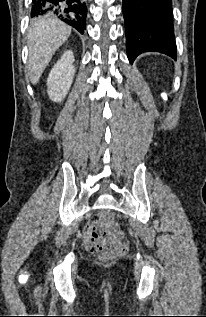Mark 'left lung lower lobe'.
Wrapping results in <instances>:
<instances>
[{
	"label": "left lung lower lobe",
	"mask_w": 206,
	"mask_h": 317,
	"mask_svg": "<svg viewBox=\"0 0 206 317\" xmlns=\"http://www.w3.org/2000/svg\"><path fill=\"white\" fill-rule=\"evenodd\" d=\"M122 11L130 63L148 51L176 59L172 0H123Z\"/></svg>",
	"instance_id": "1"
}]
</instances>
